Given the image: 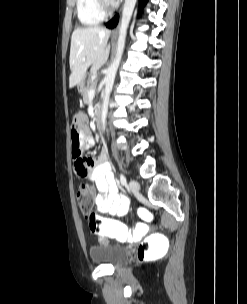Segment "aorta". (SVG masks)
Returning <instances> with one entry per match:
<instances>
[{"instance_id": "aorta-1", "label": "aorta", "mask_w": 247, "mask_h": 304, "mask_svg": "<svg viewBox=\"0 0 247 304\" xmlns=\"http://www.w3.org/2000/svg\"><path fill=\"white\" fill-rule=\"evenodd\" d=\"M136 1L137 0H125L123 11H122V19H121V23H120L117 47H116V55H115V58L112 61L111 65L107 69V73L104 78L105 90H104L102 113H101V123H102L103 130L105 129V126H106V117H107V113H108L110 93L113 88L116 72H117L121 57H122L123 50H124L127 29H128V25H129L134 7L136 5Z\"/></svg>"}]
</instances>
